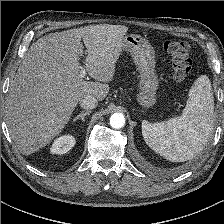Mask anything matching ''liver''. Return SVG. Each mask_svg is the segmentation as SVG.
Wrapping results in <instances>:
<instances>
[{
    "mask_svg": "<svg viewBox=\"0 0 224 224\" xmlns=\"http://www.w3.org/2000/svg\"><path fill=\"white\" fill-rule=\"evenodd\" d=\"M127 31L122 25H92L51 33L32 44L10 83L7 100L9 133L22 154L30 155L58 136L82 98L107 96ZM81 40L85 67L99 82L79 76Z\"/></svg>",
    "mask_w": 224,
    "mask_h": 224,
    "instance_id": "obj_1",
    "label": "liver"
}]
</instances>
